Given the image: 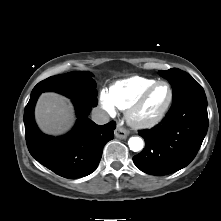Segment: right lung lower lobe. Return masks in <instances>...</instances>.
Instances as JSON below:
<instances>
[{
    "label": "right lung lower lobe",
    "mask_w": 221,
    "mask_h": 221,
    "mask_svg": "<svg viewBox=\"0 0 221 221\" xmlns=\"http://www.w3.org/2000/svg\"><path fill=\"white\" fill-rule=\"evenodd\" d=\"M39 95H31L24 112L25 137L30 154L64 178L75 179L91 174L99 164L104 145L114 137L116 123L95 124L87 118L92 105L73 101L78 117L73 130L62 137L45 135L34 120V107Z\"/></svg>",
    "instance_id": "1"
}]
</instances>
